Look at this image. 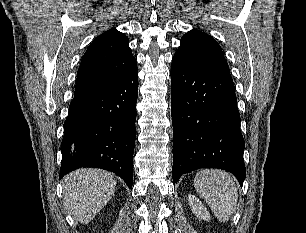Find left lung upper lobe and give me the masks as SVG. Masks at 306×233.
<instances>
[{
    "label": "left lung upper lobe",
    "instance_id": "5c2ea615",
    "mask_svg": "<svg viewBox=\"0 0 306 233\" xmlns=\"http://www.w3.org/2000/svg\"><path fill=\"white\" fill-rule=\"evenodd\" d=\"M176 55L200 66L229 72L220 45L210 35L199 30H191L183 35Z\"/></svg>",
    "mask_w": 306,
    "mask_h": 233
}]
</instances>
